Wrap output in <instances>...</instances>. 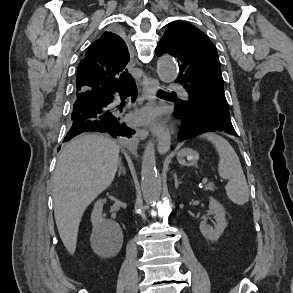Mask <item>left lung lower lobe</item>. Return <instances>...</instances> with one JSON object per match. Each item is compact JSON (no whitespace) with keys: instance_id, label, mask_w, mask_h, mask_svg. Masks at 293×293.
I'll list each match as a JSON object with an SVG mask.
<instances>
[{"instance_id":"1","label":"left lung lower lobe","mask_w":293,"mask_h":293,"mask_svg":"<svg viewBox=\"0 0 293 293\" xmlns=\"http://www.w3.org/2000/svg\"><path fill=\"white\" fill-rule=\"evenodd\" d=\"M170 99L175 103V112L184 121L178 134L179 141H183L193 135L216 130L237 135L229 115L221 111L207 113L203 110L200 102L193 98L182 100L176 95H172Z\"/></svg>"}]
</instances>
